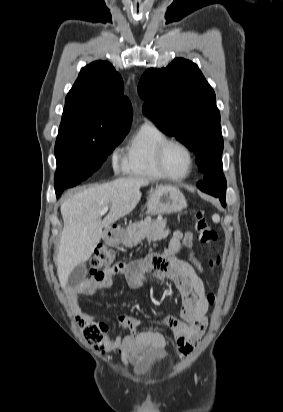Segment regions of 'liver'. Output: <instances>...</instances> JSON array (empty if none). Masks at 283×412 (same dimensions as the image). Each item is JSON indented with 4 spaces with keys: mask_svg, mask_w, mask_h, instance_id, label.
<instances>
[{
    "mask_svg": "<svg viewBox=\"0 0 283 412\" xmlns=\"http://www.w3.org/2000/svg\"><path fill=\"white\" fill-rule=\"evenodd\" d=\"M148 184L146 178H121L85 189L62 203L64 226L57 258L62 287L71 271L91 257L102 237V229L129 215L141 199L140 188ZM104 207H110V211L101 220Z\"/></svg>",
    "mask_w": 283,
    "mask_h": 412,
    "instance_id": "liver-1",
    "label": "liver"
}]
</instances>
